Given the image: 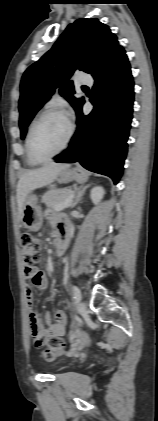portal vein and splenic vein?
Here are the masks:
<instances>
[{
	"label": "portal vein and splenic vein",
	"mask_w": 158,
	"mask_h": 421,
	"mask_svg": "<svg viewBox=\"0 0 158 421\" xmlns=\"http://www.w3.org/2000/svg\"><path fill=\"white\" fill-rule=\"evenodd\" d=\"M72 198H73V192H71V193H70V196H69L68 200H67L64 204L59 205V206L56 208V210H57V211H60V210H64L65 208H68V207L70 206V203H71V201H72Z\"/></svg>",
	"instance_id": "obj_1"
}]
</instances>
